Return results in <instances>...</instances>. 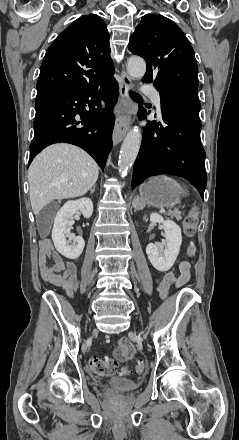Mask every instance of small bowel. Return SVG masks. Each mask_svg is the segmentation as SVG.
<instances>
[{
	"mask_svg": "<svg viewBox=\"0 0 239 440\" xmlns=\"http://www.w3.org/2000/svg\"><path fill=\"white\" fill-rule=\"evenodd\" d=\"M53 265H49V259ZM39 264L42 278L54 286L62 288L66 294L71 296L76 290V266L73 262H64L62 256L54 249L52 244L44 243L39 254ZM190 278V264L181 262L179 265V276L176 280L177 286H182Z\"/></svg>",
	"mask_w": 239,
	"mask_h": 440,
	"instance_id": "small-bowel-1",
	"label": "small bowel"
}]
</instances>
